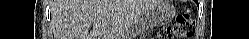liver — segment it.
Listing matches in <instances>:
<instances>
[{
    "instance_id": "liver-1",
    "label": "liver",
    "mask_w": 249,
    "mask_h": 39,
    "mask_svg": "<svg viewBox=\"0 0 249 39\" xmlns=\"http://www.w3.org/2000/svg\"><path fill=\"white\" fill-rule=\"evenodd\" d=\"M157 1H59L54 10L55 39H120L134 19Z\"/></svg>"
}]
</instances>
